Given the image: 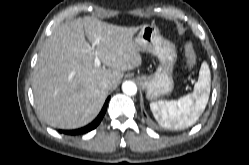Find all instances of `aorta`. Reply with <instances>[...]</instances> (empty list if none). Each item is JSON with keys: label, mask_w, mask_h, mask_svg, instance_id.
I'll use <instances>...</instances> for the list:
<instances>
[{"label": "aorta", "mask_w": 249, "mask_h": 165, "mask_svg": "<svg viewBox=\"0 0 249 165\" xmlns=\"http://www.w3.org/2000/svg\"><path fill=\"white\" fill-rule=\"evenodd\" d=\"M122 91L127 95H135L137 93V86L132 81H125L122 84Z\"/></svg>", "instance_id": "obj_1"}]
</instances>
